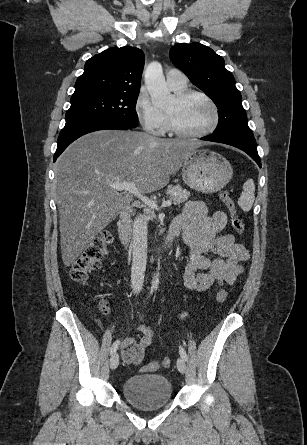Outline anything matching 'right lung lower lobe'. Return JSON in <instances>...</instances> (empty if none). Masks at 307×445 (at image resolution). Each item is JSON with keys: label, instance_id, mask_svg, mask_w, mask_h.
Instances as JSON below:
<instances>
[{"label": "right lung lower lobe", "instance_id": "98d812e1", "mask_svg": "<svg viewBox=\"0 0 307 445\" xmlns=\"http://www.w3.org/2000/svg\"><path fill=\"white\" fill-rule=\"evenodd\" d=\"M133 126L112 119L87 118L66 122L58 137V146L54 154V161L74 140L87 133L98 130H126Z\"/></svg>", "mask_w": 307, "mask_h": 445}]
</instances>
